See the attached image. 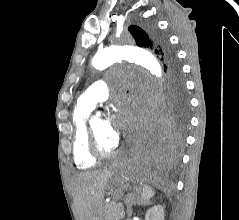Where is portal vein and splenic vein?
I'll return each instance as SVG.
<instances>
[{"label": "portal vein and splenic vein", "mask_w": 239, "mask_h": 220, "mask_svg": "<svg viewBox=\"0 0 239 220\" xmlns=\"http://www.w3.org/2000/svg\"><path fill=\"white\" fill-rule=\"evenodd\" d=\"M118 206H122V203H118Z\"/></svg>", "instance_id": "obj_1"}]
</instances>
